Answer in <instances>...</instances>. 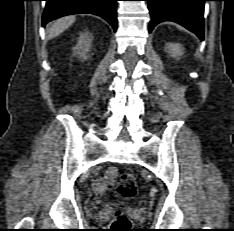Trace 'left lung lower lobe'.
Returning <instances> with one entry per match:
<instances>
[{
  "instance_id": "0a47b994",
  "label": "left lung lower lobe",
  "mask_w": 234,
  "mask_h": 231,
  "mask_svg": "<svg viewBox=\"0 0 234 231\" xmlns=\"http://www.w3.org/2000/svg\"><path fill=\"white\" fill-rule=\"evenodd\" d=\"M151 15L149 32L160 22L173 21L201 40L204 38V3L208 0H146Z\"/></svg>"
}]
</instances>
